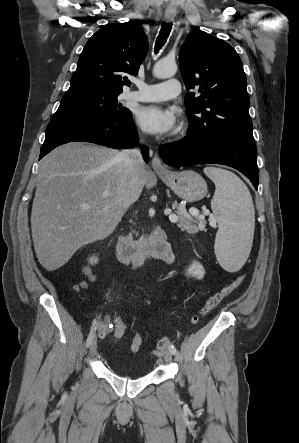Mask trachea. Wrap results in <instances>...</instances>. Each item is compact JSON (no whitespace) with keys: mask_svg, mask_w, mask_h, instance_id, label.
I'll list each match as a JSON object with an SVG mask.
<instances>
[{"mask_svg":"<svg viewBox=\"0 0 299 443\" xmlns=\"http://www.w3.org/2000/svg\"><path fill=\"white\" fill-rule=\"evenodd\" d=\"M171 29H172V23H166V22L162 23L159 35L155 43V53H157L164 46L169 37Z\"/></svg>","mask_w":299,"mask_h":443,"instance_id":"3493384b","label":"trachea"}]
</instances>
